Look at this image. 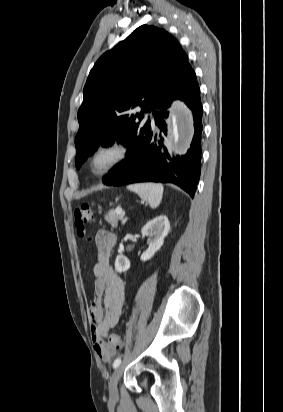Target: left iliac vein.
<instances>
[{"label":"left iliac vein","mask_w":283,"mask_h":412,"mask_svg":"<svg viewBox=\"0 0 283 412\" xmlns=\"http://www.w3.org/2000/svg\"><path fill=\"white\" fill-rule=\"evenodd\" d=\"M123 373V366L117 367L114 372L112 373L109 381V395L112 401H116L118 399V382Z\"/></svg>","instance_id":"obj_1"}]
</instances>
